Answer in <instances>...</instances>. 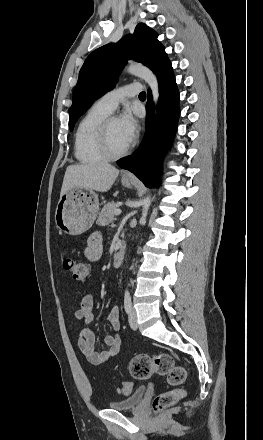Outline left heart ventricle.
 <instances>
[{
	"instance_id": "1",
	"label": "left heart ventricle",
	"mask_w": 263,
	"mask_h": 440,
	"mask_svg": "<svg viewBox=\"0 0 263 440\" xmlns=\"http://www.w3.org/2000/svg\"><path fill=\"white\" fill-rule=\"evenodd\" d=\"M108 139L111 149L115 152L125 149L130 144L121 130L118 119L111 121L108 130Z\"/></svg>"
}]
</instances>
